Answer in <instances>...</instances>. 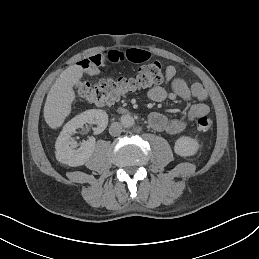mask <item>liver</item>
Returning <instances> with one entry per match:
<instances>
[{
    "mask_svg": "<svg viewBox=\"0 0 259 259\" xmlns=\"http://www.w3.org/2000/svg\"><path fill=\"white\" fill-rule=\"evenodd\" d=\"M83 76L82 65H69L51 86L43 108V118L50 129L61 128L71 114L72 105L77 100L74 87L79 84Z\"/></svg>",
    "mask_w": 259,
    "mask_h": 259,
    "instance_id": "obj_1",
    "label": "liver"
}]
</instances>
